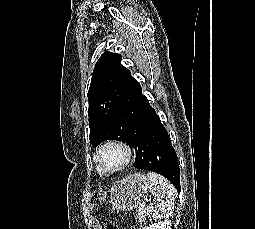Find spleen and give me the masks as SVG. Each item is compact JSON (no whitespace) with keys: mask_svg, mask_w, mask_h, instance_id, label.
<instances>
[{"mask_svg":"<svg viewBox=\"0 0 255 229\" xmlns=\"http://www.w3.org/2000/svg\"><path fill=\"white\" fill-rule=\"evenodd\" d=\"M149 189L154 196L153 202L147 207L149 217L154 219L167 218L174 209L176 190L163 176L155 172H148Z\"/></svg>","mask_w":255,"mask_h":229,"instance_id":"spleen-1","label":"spleen"}]
</instances>
